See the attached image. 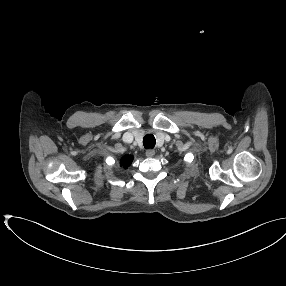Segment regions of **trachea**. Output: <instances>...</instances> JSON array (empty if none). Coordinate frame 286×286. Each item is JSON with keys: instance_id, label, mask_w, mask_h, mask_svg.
<instances>
[{"instance_id": "1", "label": "trachea", "mask_w": 286, "mask_h": 286, "mask_svg": "<svg viewBox=\"0 0 286 286\" xmlns=\"http://www.w3.org/2000/svg\"><path fill=\"white\" fill-rule=\"evenodd\" d=\"M156 144V139L152 134H148L143 138V145L146 149L154 148Z\"/></svg>"}]
</instances>
